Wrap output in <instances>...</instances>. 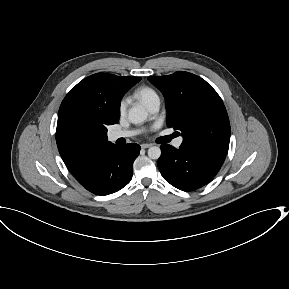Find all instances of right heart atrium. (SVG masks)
I'll return each mask as SVG.
<instances>
[{"instance_id":"obj_1","label":"right heart atrium","mask_w":289,"mask_h":289,"mask_svg":"<svg viewBox=\"0 0 289 289\" xmlns=\"http://www.w3.org/2000/svg\"><path fill=\"white\" fill-rule=\"evenodd\" d=\"M126 107H127V100L126 99H123L121 102H120V105H119V112L122 114L125 112L126 110Z\"/></svg>"}]
</instances>
